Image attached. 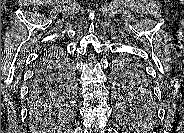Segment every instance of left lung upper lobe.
<instances>
[{"instance_id": "obj_1", "label": "left lung upper lobe", "mask_w": 184, "mask_h": 133, "mask_svg": "<svg viewBox=\"0 0 184 133\" xmlns=\"http://www.w3.org/2000/svg\"><path fill=\"white\" fill-rule=\"evenodd\" d=\"M113 79L117 90V102L123 117L136 121L148 122L156 115V105L145 72L133 58L122 57L114 63ZM150 90L139 95L136 87Z\"/></svg>"}]
</instances>
